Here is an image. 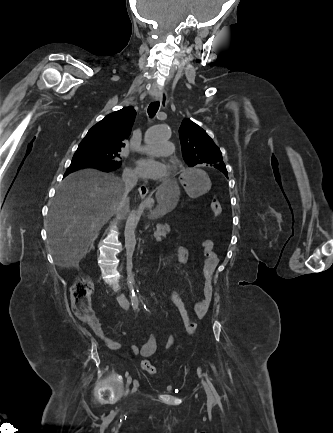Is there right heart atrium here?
I'll use <instances>...</instances> for the list:
<instances>
[{"label": "right heart atrium", "instance_id": "d8ad5b80", "mask_svg": "<svg viewBox=\"0 0 333 433\" xmlns=\"http://www.w3.org/2000/svg\"><path fill=\"white\" fill-rule=\"evenodd\" d=\"M125 173H126V175H127L128 177H130V178H134V177L136 176V173H135L134 169H132V168H130V167H128V168L125 170Z\"/></svg>", "mask_w": 333, "mask_h": 433}]
</instances>
